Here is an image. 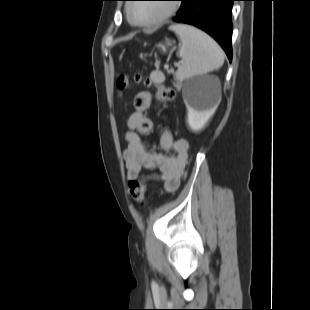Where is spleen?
I'll use <instances>...</instances> for the list:
<instances>
[{"label": "spleen", "instance_id": "3e777b00", "mask_svg": "<svg viewBox=\"0 0 310 310\" xmlns=\"http://www.w3.org/2000/svg\"><path fill=\"white\" fill-rule=\"evenodd\" d=\"M170 30L178 35L181 43L178 56L182 58V65L176 72L177 80L206 74L223 65V50L205 32L186 24L172 25Z\"/></svg>", "mask_w": 310, "mask_h": 310}]
</instances>
